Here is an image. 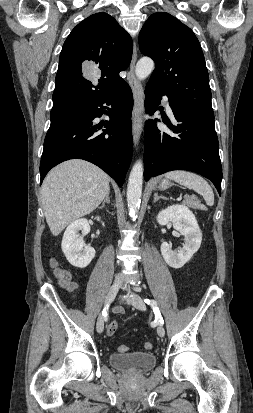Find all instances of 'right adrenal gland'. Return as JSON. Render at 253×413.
Masks as SVG:
<instances>
[{"label":"right adrenal gland","mask_w":253,"mask_h":413,"mask_svg":"<svg viewBox=\"0 0 253 413\" xmlns=\"http://www.w3.org/2000/svg\"><path fill=\"white\" fill-rule=\"evenodd\" d=\"M110 191L107 193L106 198L104 199L102 205L99 207V209L103 208L105 206V203L109 204L110 203V197H109Z\"/></svg>","instance_id":"obj_1"}]
</instances>
